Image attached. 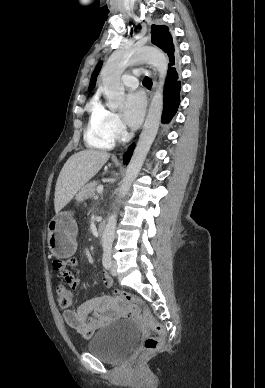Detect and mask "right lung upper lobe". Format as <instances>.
I'll return each instance as SVG.
<instances>
[{
	"instance_id": "cb5924a9",
	"label": "right lung upper lobe",
	"mask_w": 265,
	"mask_h": 388,
	"mask_svg": "<svg viewBox=\"0 0 265 388\" xmlns=\"http://www.w3.org/2000/svg\"><path fill=\"white\" fill-rule=\"evenodd\" d=\"M101 66H102V62H99L92 74V77H91V82H90V86H89V91L93 90L94 86H95V83H96V78L98 76V73L101 69Z\"/></svg>"
}]
</instances>
